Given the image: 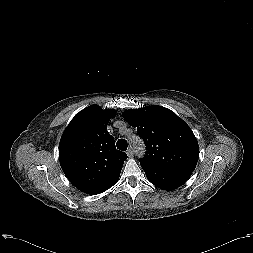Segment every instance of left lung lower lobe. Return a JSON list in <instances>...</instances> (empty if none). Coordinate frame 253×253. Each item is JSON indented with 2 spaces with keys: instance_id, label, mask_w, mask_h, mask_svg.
I'll return each mask as SVG.
<instances>
[{
  "instance_id": "left-lung-lower-lobe-1",
  "label": "left lung lower lobe",
  "mask_w": 253,
  "mask_h": 253,
  "mask_svg": "<svg viewBox=\"0 0 253 253\" xmlns=\"http://www.w3.org/2000/svg\"><path fill=\"white\" fill-rule=\"evenodd\" d=\"M147 179L163 190H174L183 185L191 176L192 172L170 169V168H155L141 165Z\"/></svg>"
}]
</instances>
